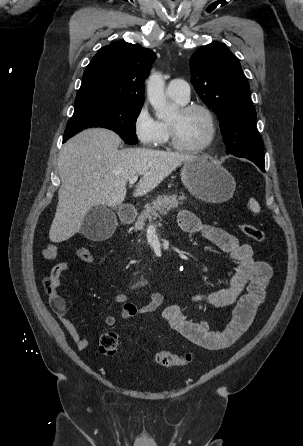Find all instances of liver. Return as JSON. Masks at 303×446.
Segmentation results:
<instances>
[{
  "label": "liver",
  "mask_w": 303,
  "mask_h": 446,
  "mask_svg": "<svg viewBox=\"0 0 303 446\" xmlns=\"http://www.w3.org/2000/svg\"><path fill=\"white\" fill-rule=\"evenodd\" d=\"M120 137L94 128L71 138L58 157L61 186L49 238L59 243L74 236L92 207H116L125 199L126 184L141 175L133 193L143 196L156 188L193 155L128 148L118 150Z\"/></svg>",
  "instance_id": "liver-1"
}]
</instances>
